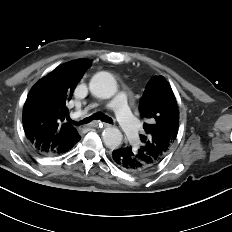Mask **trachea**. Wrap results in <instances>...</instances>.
Masks as SVG:
<instances>
[{"label": "trachea", "mask_w": 232, "mask_h": 232, "mask_svg": "<svg viewBox=\"0 0 232 232\" xmlns=\"http://www.w3.org/2000/svg\"><path fill=\"white\" fill-rule=\"evenodd\" d=\"M101 120L102 122H106V123H109V124H113V120L112 118L106 116V115H103V114H99V113H95L89 117H86L84 118L83 120L79 121V122H76L74 120H70V122L74 125H83V124H87L93 120Z\"/></svg>", "instance_id": "1"}]
</instances>
